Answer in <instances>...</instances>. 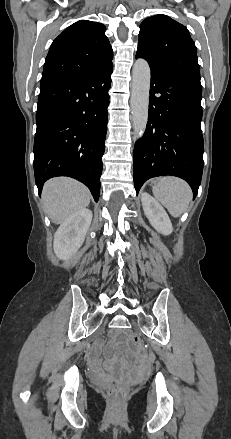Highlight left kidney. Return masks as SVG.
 <instances>
[{
    "label": "left kidney",
    "instance_id": "obj_1",
    "mask_svg": "<svg viewBox=\"0 0 231 439\" xmlns=\"http://www.w3.org/2000/svg\"><path fill=\"white\" fill-rule=\"evenodd\" d=\"M143 210L150 224L161 234L169 235L173 231L171 221L164 208L148 193L141 196Z\"/></svg>",
    "mask_w": 231,
    "mask_h": 439
}]
</instances>
